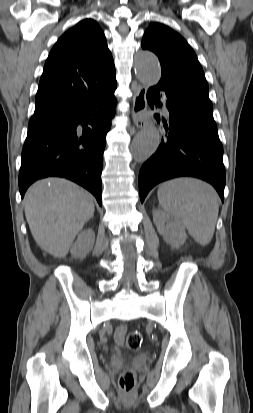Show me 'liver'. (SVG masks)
<instances>
[{"label":"liver","mask_w":253,"mask_h":413,"mask_svg":"<svg viewBox=\"0 0 253 413\" xmlns=\"http://www.w3.org/2000/svg\"><path fill=\"white\" fill-rule=\"evenodd\" d=\"M24 210L37 245L54 257L64 258L95 208L92 195L77 184L47 178L27 190Z\"/></svg>","instance_id":"obj_1"}]
</instances>
